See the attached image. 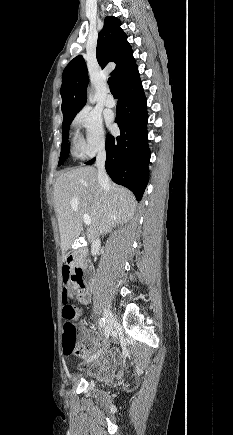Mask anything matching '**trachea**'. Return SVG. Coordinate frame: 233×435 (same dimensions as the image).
Segmentation results:
<instances>
[{
  "label": "trachea",
  "instance_id": "trachea-1",
  "mask_svg": "<svg viewBox=\"0 0 233 435\" xmlns=\"http://www.w3.org/2000/svg\"><path fill=\"white\" fill-rule=\"evenodd\" d=\"M108 85L110 88V91L113 95H117V85H116V81L113 78H109L108 79Z\"/></svg>",
  "mask_w": 233,
  "mask_h": 435
}]
</instances>
